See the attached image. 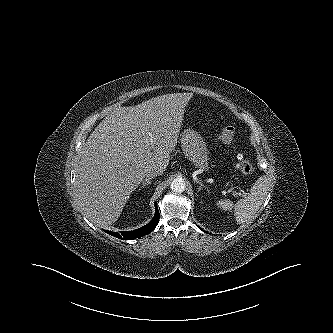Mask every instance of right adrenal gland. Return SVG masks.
I'll list each match as a JSON object with an SVG mask.
<instances>
[{"instance_id":"right-adrenal-gland-1","label":"right adrenal gland","mask_w":333,"mask_h":333,"mask_svg":"<svg viewBox=\"0 0 333 333\" xmlns=\"http://www.w3.org/2000/svg\"><path fill=\"white\" fill-rule=\"evenodd\" d=\"M154 177H147L145 180H143L141 186H140V189H143L145 188L146 186L150 185L151 184V180L153 179Z\"/></svg>"}]
</instances>
